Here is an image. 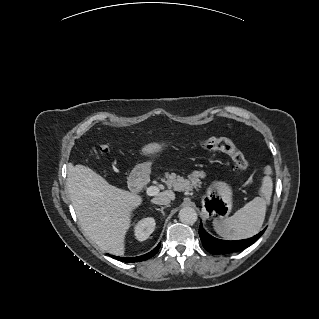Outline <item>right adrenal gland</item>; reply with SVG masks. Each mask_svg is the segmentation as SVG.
I'll use <instances>...</instances> for the list:
<instances>
[{"label":"right adrenal gland","mask_w":319,"mask_h":319,"mask_svg":"<svg viewBox=\"0 0 319 319\" xmlns=\"http://www.w3.org/2000/svg\"><path fill=\"white\" fill-rule=\"evenodd\" d=\"M166 207H168V205L167 206H164V207H161V208H155L157 211H160L161 213H162V215H164V209L166 208Z\"/></svg>","instance_id":"1"}]
</instances>
